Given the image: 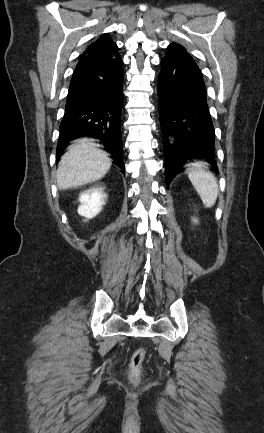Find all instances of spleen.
I'll use <instances>...</instances> for the list:
<instances>
[{"mask_svg": "<svg viewBox=\"0 0 264 433\" xmlns=\"http://www.w3.org/2000/svg\"><path fill=\"white\" fill-rule=\"evenodd\" d=\"M188 177L203 204L211 208L218 197V183L214 175L205 170V163H195L188 169Z\"/></svg>", "mask_w": 264, "mask_h": 433, "instance_id": "3e777b00", "label": "spleen"}]
</instances>
